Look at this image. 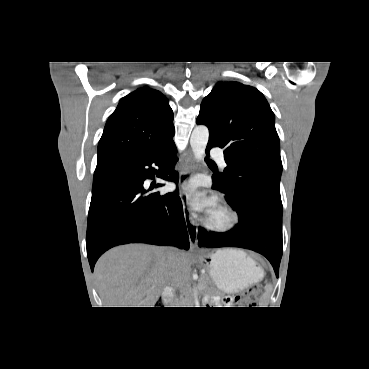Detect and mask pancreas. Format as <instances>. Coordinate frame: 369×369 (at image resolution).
<instances>
[{
	"label": "pancreas",
	"instance_id": "obj_1",
	"mask_svg": "<svg viewBox=\"0 0 369 369\" xmlns=\"http://www.w3.org/2000/svg\"><path fill=\"white\" fill-rule=\"evenodd\" d=\"M198 289L199 290H205L206 289V283H205V281H203V280H200L199 281V284H198ZM184 304H190L191 302H190V299L189 298H185L183 301H182Z\"/></svg>",
	"mask_w": 369,
	"mask_h": 369
}]
</instances>
